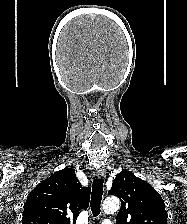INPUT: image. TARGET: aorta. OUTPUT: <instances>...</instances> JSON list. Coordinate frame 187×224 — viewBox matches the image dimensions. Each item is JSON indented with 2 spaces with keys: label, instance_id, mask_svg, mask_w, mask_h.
Listing matches in <instances>:
<instances>
[{
  "label": "aorta",
  "instance_id": "1",
  "mask_svg": "<svg viewBox=\"0 0 187 224\" xmlns=\"http://www.w3.org/2000/svg\"><path fill=\"white\" fill-rule=\"evenodd\" d=\"M120 208V201L117 197L107 198L102 205V209L107 214H112Z\"/></svg>",
  "mask_w": 187,
  "mask_h": 224
}]
</instances>
